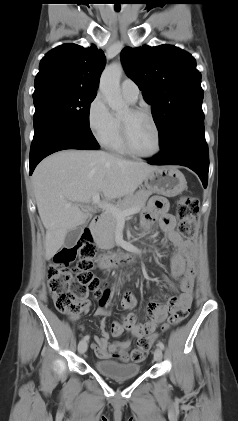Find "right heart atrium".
I'll return each mask as SVG.
<instances>
[{
	"instance_id": "1",
	"label": "right heart atrium",
	"mask_w": 238,
	"mask_h": 421,
	"mask_svg": "<svg viewBox=\"0 0 238 421\" xmlns=\"http://www.w3.org/2000/svg\"><path fill=\"white\" fill-rule=\"evenodd\" d=\"M87 120L92 134L100 143L105 144L113 137L117 120L101 94H97L90 102Z\"/></svg>"
}]
</instances>
